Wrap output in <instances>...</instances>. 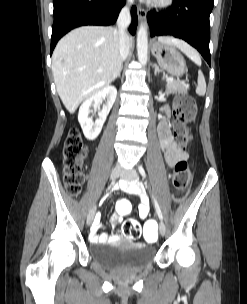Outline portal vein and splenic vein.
<instances>
[{"label": "portal vein and splenic vein", "mask_w": 247, "mask_h": 304, "mask_svg": "<svg viewBox=\"0 0 247 304\" xmlns=\"http://www.w3.org/2000/svg\"><path fill=\"white\" fill-rule=\"evenodd\" d=\"M166 80L167 81H173V77H167Z\"/></svg>", "instance_id": "1"}]
</instances>
